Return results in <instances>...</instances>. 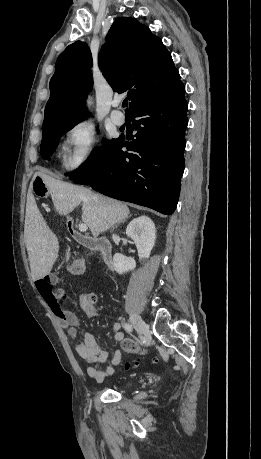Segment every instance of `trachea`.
Masks as SVG:
<instances>
[{"instance_id": "1", "label": "trachea", "mask_w": 261, "mask_h": 459, "mask_svg": "<svg viewBox=\"0 0 261 459\" xmlns=\"http://www.w3.org/2000/svg\"><path fill=\"white\" fill-rule=\"evenodd\" d=\"M122 106H123V107H127V106H128V101H127V99H125V100L123 101Z\"/></svg>"}]
</instances>
